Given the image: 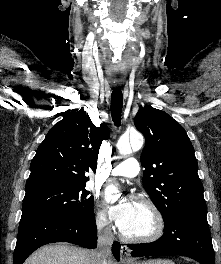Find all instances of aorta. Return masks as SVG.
<instances>
[{"label":"aorta","instance_id":"762f6f07","mask_svg":"<svg viewBox=\"0 0 221 264\" xmlns=\"http://www.w3.org/2000/svg\"><path fill=\"white\" fill-rule=\"evenodd\" d=\"M143 136L140 133H134L130 135V141L127 138H120L117 143V149L120 155L126 156L132 153V150H139L143 146ZM117 188L114 185L107 187V193L116 192Z\"/></svg>","mask_w":221,"mask_h":264}]
</instances>
